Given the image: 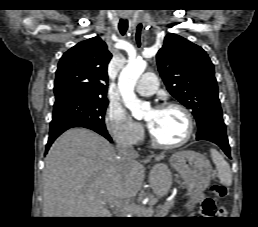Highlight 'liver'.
Wrapping results in <instances>:
<instances>
[{
  "label": "liver",
  "instance_id": "6515ba94",
  "mask_svg": "<svg viewBox=\"0 0 258 227\" xmlns=\"http://www.w3.org/2000/svg\"><path fill=\"white\" fill-rule=\"evenodd\" d=\"M161 154L156 161L164 159ZM144 166L124 161L102 136L85 128L64 132L51 146L43 170V217H105L104 202L130 200L140 190ZM153 192L163 197L172 185L165 164L149 173Z\"/></svg>",
  "mask_w": 258,
  "mask_h": 227
}]
</instances>
